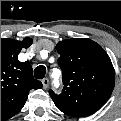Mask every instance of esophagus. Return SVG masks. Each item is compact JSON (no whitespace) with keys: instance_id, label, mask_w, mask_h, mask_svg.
Returning a JSON list of instances; mask_svg holds the SVG:
<instances>
[{"instance_id":"obj_1","label":"esophagus","mask_w":121,"mask_h":121,"mask_svg":"<svg viewBox=\"0 0 121 121\" xmlns=\"http://www.w3.org/2000/svg\"><path fill=\"white\" fill-rule=\"evenodd\" d=\"M42 84H43V88H44V89H47L48 86H49V80H48L47 78H44V79L42 80Z\"/></svg>"}]
</instances>
